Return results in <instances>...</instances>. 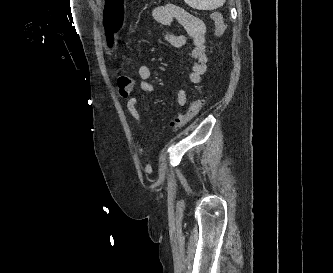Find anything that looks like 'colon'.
Listing matches in <instances>:
<instances>
[{"instance_id":"obj_1","label":"colon","mask_w":333,"mask_h":273,"mask_svg":"<svg viewBox=\"0 0 333 273\" xmlns=\"http://www.w3.org/2000/svg\"><path fill=\"white\" fill-rule=\"evenodd\" d=\"M210 17L214 23L215 35L217 37L221 36L225 30V24L221 14H219L218 12H212ZM117 86L119 93L123 98L130 97L134 87V82L132 77L128 73L121 71L117 77ZM203 104H204L203 98H198L192 101L185 113L179 114L171 120L170 122L171 128L176 130L184 126L189 120H191L193 117L197 115V113L202 108Z\"/></svg>"}]
</instances>
